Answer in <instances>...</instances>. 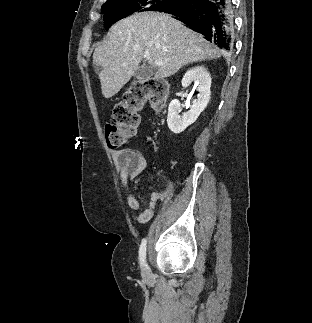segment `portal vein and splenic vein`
Listing matches in <instances>:
<instances>
[{
  "label": "portal vein and splenic vein",
  "mask_w": 312,
  "mask_h": 323,
  "mask_svg": "<svg viewBox=\"0 0 312 323\" xmlns=\"http://www.w3.org/2000/svg\"><path fill=\"white\" fill-rule=\"evenodd\" d=\"M149 54H144V58H148ZM167 62H156V66H165Z\"/></svg>",
  "instance_id": "obj_1"
}]
</instances>
